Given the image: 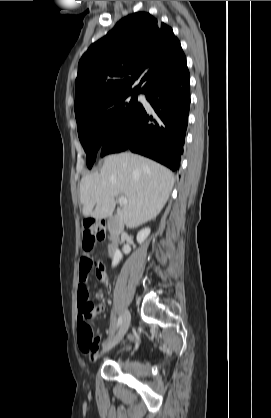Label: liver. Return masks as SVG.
Wrapping results in <instances>:
<instances>
[{
	"label": "liver",
	"mask_w": 271,
	"mask_h": 418,
	"mask_svg": "<svg viewBox=\"0 0 271 418\" xmlns=\"http://www.w3.org/2000/svg\"><path fill=\"white\" fill-rule=\"evenodd\" d=\"M173 173L161 164L130 152L105 157L99 172L82 177L80 201L83 215L95 219L112 215L116 197L127 204L117 209V219L136 228L155 219L172 191Z\"/></svg>",
	"instance_id": "liver-1"
}]
</instances>
